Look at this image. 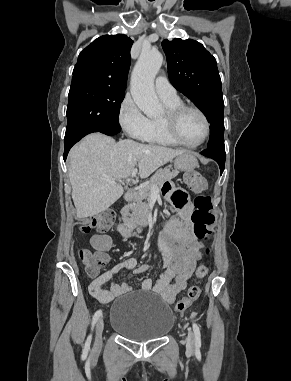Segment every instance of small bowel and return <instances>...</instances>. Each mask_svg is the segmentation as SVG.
I'll return each mask as SVG.
<instances>
[{"label":"small bowel","instance_id":"1","mask_svg":"<svg viewBox=\"0 0 291 381\" xmlns=\"http://www.w3.org/2000/svg\"><path fill=\"white\" fill-rule=\"evenodd\" d=\"M165 192L177 208L182 220L171 219L160 233L157 248L162 253L163 272L155 284L148 278L142 280L141 289L154 292L166 303L172 304L177 294L186 288L188 279L201 258L202 243L190 231L192 208L185 202L184 194L171 187H166ZM179 199H184V203L178 204ZM90 242L99 252H105L111 247V238L108 235H94ZM121 270L141 275L149 270V266L146 264L137 266L136 260L129 257L94 278L89 285V291L100 303L108 304L114 298L132 290L126 283L112 282L114 276Z\"/></svg>","mask_w":291,"mask_h":381}]
</instances>
